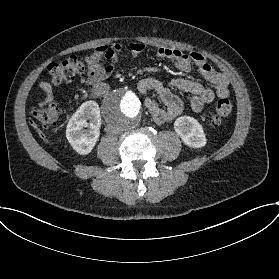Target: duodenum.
<instances>
[{
  "instance_id": "410a0bca",
  "label": "duodenum",
  "mask_w": 279,
  "mask_h": 279,
  "mask_svg": "<svg viewBox=\"0 0 279 279\" xmlns=\"http://www.w3.org/2000/svg\"><path fill=\"white\" fill-rule=\"evenodd\" d=\"M108 90H109V87L107 84H99L94 87L93 94L95 96H99V95L105 94Z\"/></svg>"
}]
</instances>
